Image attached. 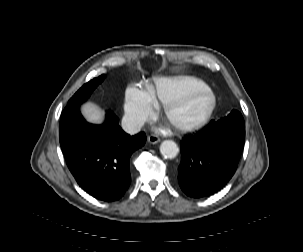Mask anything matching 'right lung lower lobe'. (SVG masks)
<instances>
[{"instance_id":"obj_1","label":"right lung lower lobe","mask_w":303,"mask_h":252,"mask_svg":"<svg viewBox=\"0 0 303 252\" xmlns=\"http://www.w3.org/2000/svg\"><path fill=\"white\" fill-rule=\"evenodd\" d=\"M81 104L67 105L60 118V145L68 168L93 197L118 200L131 183L130 156L145 144L146 135L126 134L112 112L103 125L90 124L80 113Z\"/></svg>"}]
</instances>
